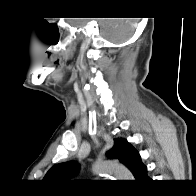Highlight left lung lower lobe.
<instances>
[{"label": "left lung lower lobe", "instance_id": "0a47b994", "mask_svg": "<svg viewBox=\"0 0 196 196\" xmlns=\"http://www.w3.org/2000/svg\"><path fill=\"white\" fill-rule=\"evenodd\" d=\"M137 161L138 162H137V165H136V168L134 170L133 175L139 181L147 180L148 179L147 167L141 162V157L140 156H138Z\"/></svg>", "mask_w": 196, "mask_h": 196}]
</instances>
